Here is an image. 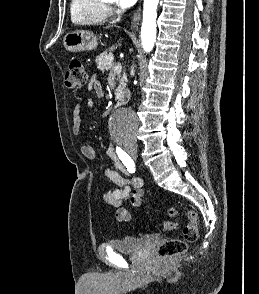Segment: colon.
<instances>
[{
  "label": "colon",
  "instance_id": "colon-1",
  "mask_svg": "<svg viewBox=\"0 0 259 294\" xmlns=\"http://www.w3.org/2000/svg\"><path fill=\"white\" fill-rule=\"evenodd\" d=\"M88 81V74L84 64L79 59L70 61L68 70L65 74V85L68 88H80L86 85ZM170 217H177L179 210L176 207H171L168 210ZM188 222L183 229V236L181 238L169 239L163 242L157 249V255L160 258H169L177 256L186 251L188 243L194 242L199 235L198 217L194 211L187 213ZM163 230L171 231L178 228V224L174 221H163L161 224Z\"/></svg>",
  "mask_w": 259,
  "mask_h": 294
}]
</instances>
